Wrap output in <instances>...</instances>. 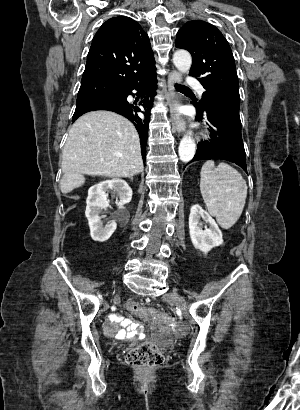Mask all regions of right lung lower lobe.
<instances>
[{"mask_svg":"<svg viewBox=\"0 0 300 410\" xmlns=\"http://www.w3.org/2000/svg\"><path fill=\"white\" fill-rule=\"evenodd\" d=\"M156 83V75H151L136 83H130L123 89V94L120 97L103 96L78 102L72 121H75L82 114L93 110H109L125 116L134 124L139 133L142 157L145 160L150 110L156 94ZM133 90L138 91L137 95L144 91L148 93V96L140 102V107L127 101L129 95L134 96ZM141 113L144 114V119L141 118Z\"/></svg>","mask_w":300,"mask_h":410,"instance_id":"right-lung-lower-lobe-1","label":"right lung lower lobe"}]
</instances>
